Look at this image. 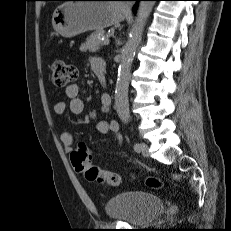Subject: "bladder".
Masks as SVG:
<instances>
[{
    "mask_svg": "<svg viewBox=\"0 0 231 231\" xmlns=\"http://www.w3.org/2000/svg\"><path fill=\"white\" fill-rule=\"evenodd\" d=\"M164 208V201L148 192L121 193L104 205L107 217L130 225L151 224L163 213Z\"/></svg>",
    "mask_w": 231,
    "mask_h": 231,
    "instance_id": "31cf9c89",
    "label": "bladder"
}]
</instances>
